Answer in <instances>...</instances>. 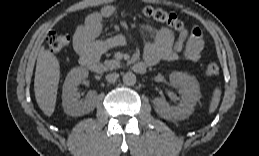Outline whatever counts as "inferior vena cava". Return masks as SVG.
<instances>
[{"instance_id":"1","label":"inferior vena cava","mask_w":259,"mask_h":156,"mask_svg":"<svg viewBox=\"0 0 259 156\" xmlns=\"http://www.w3.org/2000/svg\"><path fill=\"white\" fill-rule=\"evenodd\" d=\"M119 77V74L118 73H111V74H108L106 76V80L109 82V83H114L117 78Z\"/></svg>"}]
</instances>
